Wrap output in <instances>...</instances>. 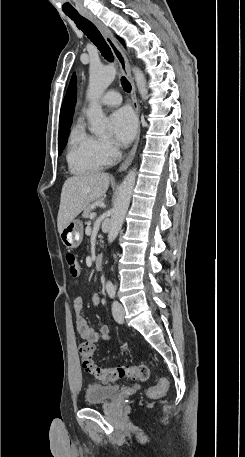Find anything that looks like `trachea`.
<instances>
[{
	"mask_svg": "<svg viewBox=\"0 0 245 457\" xmlns=\"http://www.w3.org/2000/svg\"><path fill=\"white\" fill-rule=\"evenodd\" d=\"M71 20L76 24V26L79 28V30H82L84 35H86L91 42L96 45L98 50H100L102 56L106 58L109 62H113L114 57L112 55V52L110 50V47L107 45L105 42L103 36L97 29V27L87 18H84L80 13H66ZM121 85L123 87V90L125 92H131V84L125 77H121Z\"/></svg>",
	"mask_w": 245,
	"mask_h": 457,
	"instance_id": "3493384b",
	"label": "trachea"
}]
</instances>
